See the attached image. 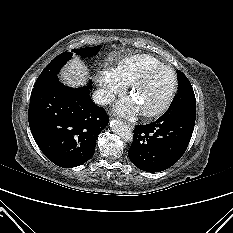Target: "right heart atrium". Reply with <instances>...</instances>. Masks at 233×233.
I'll return each mask as SVG.
<instances>
[{
    "mask_svg": "<svg viewBox=\"0 0 233 233\" xmlns=\"http://www.w3.org/2000/svg\"><path fill=\"white\" fill-rule=\"evenodd\" d=\"M98 80L101 86V100L109 102L117 94H121L126 85L120 79L116 69L104 68L100 71Z\"/></svg>",
    "mask_w": 233,
    "mask_h": 233,
    "instance_id": "right-heart-atrium-1",
    "label": "right heart atrium"
}]
</instances>
